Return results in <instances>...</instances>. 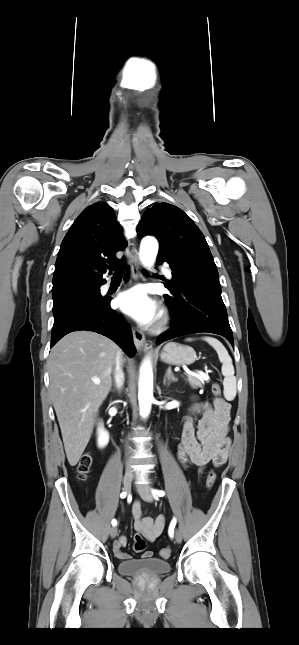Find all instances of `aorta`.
<instances>
[{
    "mask_svg": "<svg viewBox=\"0 0 299 645\" xmlns=\"http://www.w3.org/2000/svg\"><path fill=\"white\" fill-rule=\"evenodd\" d=\"M157 253V240L153 237L144 238L141 242L139 252V257L143 265L150 268L156 260ZM153 399V372L150 361L146 360L140 369L138 390L140 414L143 418L149 415Z\"/></svg>",
    "mask_w": 299,
    "mask_h": 645,
    "instance_id": "obj_1",
    "label": "aorta"
}]
</instances>
